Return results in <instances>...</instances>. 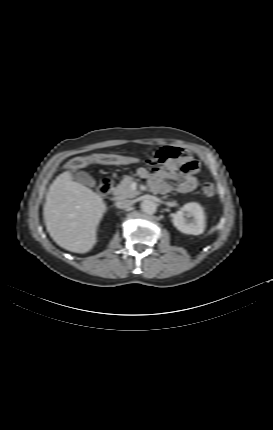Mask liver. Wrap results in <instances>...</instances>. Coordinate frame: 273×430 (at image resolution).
I'll return each mask as SVG.
<instances>
[{
    "label": "liver",
    "instance_id": "obj_1",
    "mask_svg": "<svg viewBox=\"0 0 273 430\" xmlns=\"http://www.w3.org/2000/svg\"><path fill=\"white\" fill-rule=\"evenodd\" d=\"M106 211L103 199L72 179L70 171L60 174L50 185L43 207L46 229L62 248L90 251L97 241V228Z\"/></svg>",
    "mask_w": 273,
    "mask_h": 430
}]
</instances>
